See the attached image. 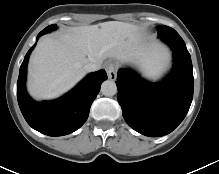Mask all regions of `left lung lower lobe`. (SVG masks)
<instances>
[{"label": "left lung lower lobe", "mask_w": 219, "mask_h": 174, "mask_svg": "<svg viewBox=\"0 0 219 174\" xmlns=\"http://www.w3.org/2000/svg\"><path fill=\"white\" fill-rule=\"evenodd\" d=\"M174 55L172 72L160 83H149L121 69L116 81L118 102L127 124L137 132L159 137L172 132L185 118L193 98L190 54L183 39L165 37Z\"/></svg>", "instance_id": "0a47b994"}]
</instances>
